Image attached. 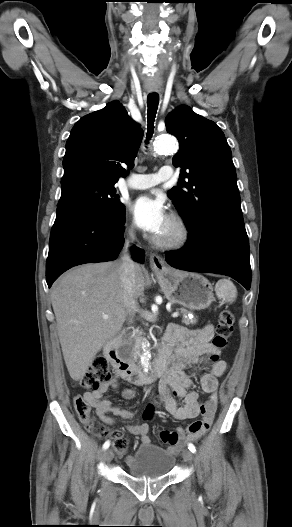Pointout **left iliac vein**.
Listing matches in <instances>:
<instances>
[{
    "mask_svg": "<svg viewBox=\"0 0 292 527\" xmlns=\"http://www.w3.org/2000/svg\"><path fill=\"white\" fill-rule=\"evenodd\" d=\"M182 457H183V459H184L186 462H191L192 459H193V454H192V452H191L190 450L185 449V450H183V452H182Z\"/></svg>",
    "mask_w": 292,
    "mask_h": 527,
    "instance_id": "left-iliac-vein-1",
    "label": "left iliac vein"
}]
</instances>
